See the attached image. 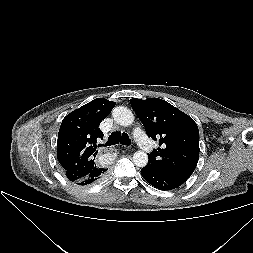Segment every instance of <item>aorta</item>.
<instances>
[{"label":"aorta","instance_id":"obj_1","mask_svg":"<svg viewBox=\"0 0 253 253\" xmlns=\"http://www.w3.org/2000/svg\"><path fill=\"white\" fill-rule=\"evenodd\" d=\"M114 121L124 127H128L134 122V115L130 109L124 106L115 107L112 111ZM133 162L138 167H144L148 163V155L143 151L133 154Z\"/></svg>","mask_w":253,"mask_h":253}]
</instances>
